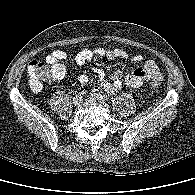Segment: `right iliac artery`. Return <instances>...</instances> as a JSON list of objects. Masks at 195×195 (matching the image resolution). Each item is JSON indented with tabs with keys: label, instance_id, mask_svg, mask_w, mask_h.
Wrapping results in <instances>:
<instances>
[{
	"label": "right iliac artery",
	"instance_id": "obj_1",
	"mask_svg": "<svg viewBox=\"0 0 195 195\" xmlns=\"http://www.w3.org/2000/svg\"><path fill=\"white\" fill-rule=\"evenodd\" d=\"M84 94H86V91H81V92L79 93L80 96H83Z\"/></svg>",
	"mask_w": 195,
	"mask_h": 195
}]
</instances>
